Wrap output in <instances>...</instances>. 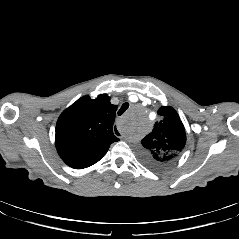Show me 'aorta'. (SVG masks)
<instances>
[{"label":"aorta","instance_id":"aorta-1","mask_svg":"<svg viewBox=\"0 0 239 239\" xmlns=\"http://www.w3.org/2000/svg\"><path fill=\"white\" fill-rule=\"evenodd\" d=\"M144 120L137 114H130L123 123V130L128 136H132L142 129Z\"/></svg>","mask_w":239,"mask_h":239}]
</instances>
